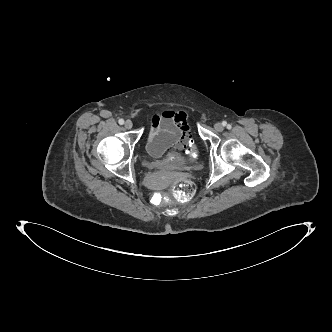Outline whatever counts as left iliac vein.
<instances>
[{"label": "left iliac vein", "mask_w": 332, "mask_h": 332, "mask_svg": "<svg viewBox=\"0 0 332 332\" xmlns=\"http://www.w3.org/2000/svg\"><path fill=\"white\" fill-rule=\"evenodd\" d=\"M214 128L218 132H222L223 129H224L223 125L221 123H219V122L214 125Z\"/></svg>", "instance_id": "left-iliac-vein-1"}]
</instances>
